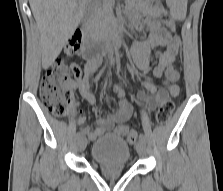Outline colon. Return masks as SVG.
Listing matches in <instances>:
<instances>
[{
	"label": "colon",
	"instance_id": "obj_1",
	"mask_svg": "<svg viewBox=\"0 0 223 191\" xmlns=\"http://www.w3.org/2000/svg\"><path fill=\"white\" fill-rule=\"evenodd\" d=\"M165 25L174 29V21L170 17H164ZM82 41L81 34H75L66 44L65 51L74 54L80 48ZM168 70H173V63L167 66ZM71 75L76 79L83 76V71L77 64L70 68L62 60H57L45 73L41 86L40 96L44 106L56 117H66L74 107V100L71 92ZM174 110V103L171 99L162 102L155 113V122L159 125L166 123ZM116 133L127 138L129 143L135 144L137 135L134 131L124 126H119Z\"/></svg>",
	"mask_w": 223,
	"mask_h": 191
}]
</instances>
